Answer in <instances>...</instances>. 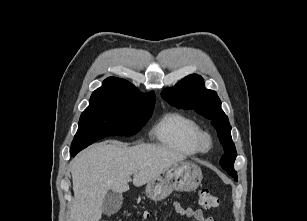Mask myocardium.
I'll return each instance as SVG.
<instances>
[{
    "mask_svg": "<svg viewBox=\"0 0 307 221\" xmlns=\"http://www.w3.org/2000/svg\"><path fill=\"white\" fill-rule=\"evenodd\" d=\"M196 146L199 152H208L213 146L211 135L205 131H200L196 138Z\"/></svg>",
    "mask_w": 307,
    "mask_h": 221,
    "instance_id": "obj_1",
    "label": "myocardium"
}]
</instances>
